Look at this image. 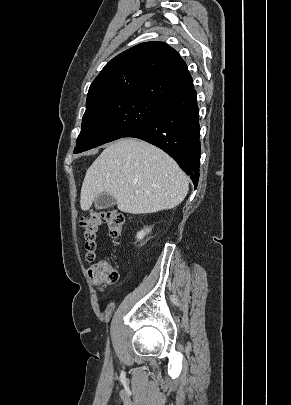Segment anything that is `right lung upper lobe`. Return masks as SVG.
I'll use <instances>...</instances> for the list:
<instances>
[{"label":"right lung upper lobe","instance_id":"1","mask_svg":"<svg viewBox=\"0 0 291 405\" xmlns=\"http://www.w3.org/2000/svg\"><path fill=\"white\" fill-rule=\"evenodd\" d=\"M191 87L192 77L176 50L163 42H145L106 64L89 88L86 106L126 98L165 103Z\"/></svg>","mask_w":291,"mask_h":405}]
</instances>
